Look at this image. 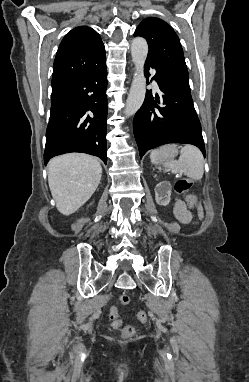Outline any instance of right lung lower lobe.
<instances>
[{"label": "right lung lower lobe", "mask_w": 249, "mask_h": 382, "mask_svg": "<svg viewBox=\"0 0 249 382\" xmlns=\"http://www.w3.org/2000/svg\"><path fill=\"white\" fill-rule=\"evenodd\" d=\"M106 88L104 56L85 76L52 98L45 164L54 156L70 152L91 154L107 162Z\"/></svg>", "instance_id": "98d812e1"}]
</instances>
